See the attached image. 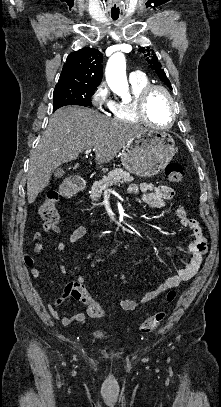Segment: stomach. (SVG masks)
<instances>
[{"label":"stomach","mask_w":221,"mask_h":407,"mask_svg":"<svg viewBox=\"0 0 221 407\" xmlns=\"http://www.w3.org/2000/svg\"><path fill=\"white\" fill-rule=\"evenodd\" d=\"M174 154L175 142L169 134L144 130L123 147L121 162L129 172L151 177L162 171Z\"/></svg>","instance_id":"0dacf381"}]
</instances>
